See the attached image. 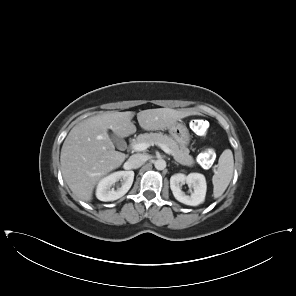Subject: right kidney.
Returning <instances> with one entry per match:
<instances>
[{
    "label": "right kidney",
    "mask_w": 296,
    "mask_h": 296,
    "mask_svg": "<svg viewBox=\"0 0 296 296\" xmlns=\"http://www.w3.org/2000/svg\"><path fill=\"white\" fill-rule=\"evenodd\" d=\"M122 180V186L114 190L111 188L117 181ZM134 180L133 171H117L102 178L96 188V197L100 201H114L124 196L132 186Z\"/></svg>",
    "instance_id": "right-kidney-1"
}]
</instances>
